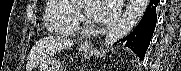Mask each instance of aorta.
<instances>
[{"instance_id": "762f6f07", "label": "aorta", "mask_w": 181, "mask_h": 71, "mask_svg": "<svg viewBox=\"0 0 181 71\" xmlns=\"http://www.w3.org/2000/svg\"><path fill=\"white\" fill-rule=\"evenodd\" d=\"M149 0H130L126 11L104 39V47L123 39L137 25L148 6Z\"/></svg>"}]
</instances>
